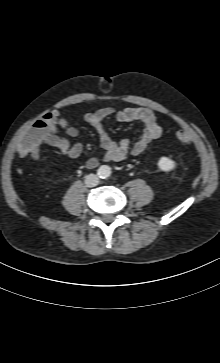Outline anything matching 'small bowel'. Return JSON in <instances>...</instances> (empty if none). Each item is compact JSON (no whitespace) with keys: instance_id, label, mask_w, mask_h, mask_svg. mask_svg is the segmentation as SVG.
<instances>
[{"instance_id":"1","label":"small bowel","mask_w":220,"mask_h":363,"mask_svg":"<svg viewBox=\"0 0 220 363\" xmlns=\"http://www.w3.org/2000/svg\"><path fill=\"white\" fill-rule=\"evenodd\" d=\"M115 115L120 122H140L144 125L142 136L134 144L127 139L115 142L107 133L103 121L105 118ZM83 119L89 123L97 132L100 145L104 150L103 160L106 162H119L128 154L139 155L143 153L149 144L162 135V127L157 122L155 114L141 107H128L116 110L113 107H104L94 112H86ZM44 136L39 143H33L29 138V133L35 128L32 127L23 137L21 144L17 149L19 156L30 155L32 159L37 160L39 157V145L46 144L59 150L63 155L75 159L78 158L83 150L79 141L72 142L70 139L78 137L79 131L72 126L69 121L59 115L58 112H52L44 120ZM65 132L66 136L58 135V130ZM98 158H90L86 161L88 168H94L99 164Z\"/></svg>"}]
</instances>
